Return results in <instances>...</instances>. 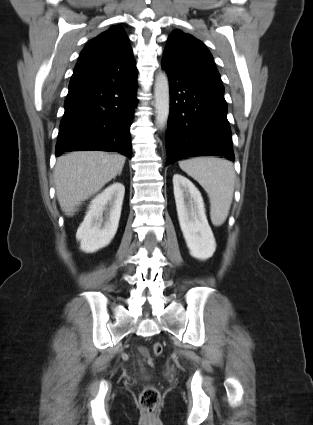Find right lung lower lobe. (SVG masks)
Segmentation results:
<instances>
[{
	"label": "right lung lower lobe",
	"mask_w": 313,
	"mask_h": 425,
	"mask_svg": "<svg viewBox=\"0 0 313 425\" xmlns=\"http://www.w3.org/2000/svg\"><path fill=\"white\" fill-rule=\"evenodd\" d=\"M136 64L75 67L65 99L56 156L79 150L131 157L129 128L136 106Z\"/></svg>",
	"instance_id": "obj_1"
}]
</instances>
